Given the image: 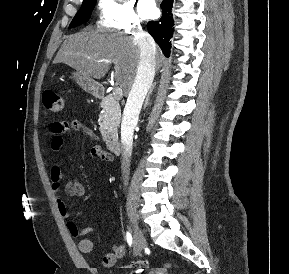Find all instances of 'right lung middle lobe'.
Wrapping results in <instances>:
<instances>
[{
	"instance_id": "right-lung-middle-lobe-1",
	"label": "right lung middle lobe",
	"mask_w": 289,
	"mask_h": 274,
	"mask_svg": "<svg viewBox=\"0 0 289 274\" xmlns=\"http://www.w3.org/2000/svg\"><path fill=\"white\" fill-rule=\"evenodd\" d=\"M95 4L96 0H83L81 9L78 11V13L75 15L72 22L70 23V28L76 27L86 22L89 19Z\"/></svg>"
}]
</instances>
